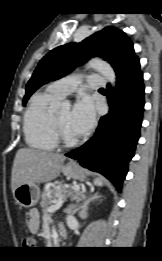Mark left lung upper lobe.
Segmentation results:
<instances>
[{"label":"left lung upper lobe","instance_id":"left-lung-upper-lobe-1","mask_svg":"<svg viewBox=\"0 0 162 261\" xmlns=\"http://www.w3.org/2000/svg\"><path fill=\"white\" fill-rule=\"evenodd\" d=\"M94 56H101L108 61L116 76L128 65L139 60L134 53L133 43L123 31L105 27L81 43H68L46 54L27 83L23 105L40 86L67 75Z\"/></svg>","mask_w":162,"mask_h":261}]
</instances>
